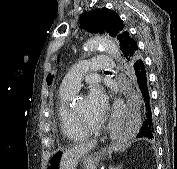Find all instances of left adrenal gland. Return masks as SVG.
Returning a JSON list of instances; mask_svg holds the SVG:
<instances>
[{
	"instance_id": "left-adrenal-gland-1",
	"label": "left adrenal gland",
	"mask_w": 177,
	"mask_h": 169,
	"mask_svg": "<svg viewBox=\"0 0 177 169\" xmlns=\"http://www.w3.org/2000/svg\"><path fill=\"white\" fill-rule=\"evenodd\" d=\"M122 168V165L120 166H117V167H113V166H110L109 169H121Z\"/></svg>"
}]
</instances>
